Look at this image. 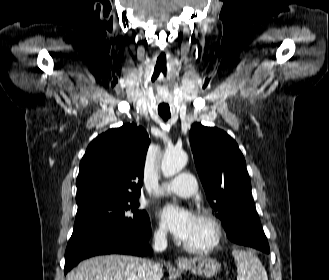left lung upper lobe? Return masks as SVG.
Wrapping results in <instances>:
<instances>
[{"label":"left lung upper lobe","instance_id":"1","mask_svg":"<svg viewBox=\"0 0 329 280\" xmlns=\"http://www.w3.org/2000/svg\"><path fill=\"white\" fill-rule=\"evenodd\" d=\"M189 138L206 197L225 229L233 226L254 203L243 154L237 143L216 127L194 123Z\"/></svg>","mask_w":329,"mask_h":280}]
</instances>
